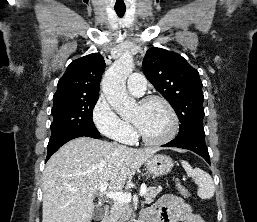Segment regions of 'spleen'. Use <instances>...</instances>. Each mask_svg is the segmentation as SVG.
I'll return each instance as SVG.
<instances>
[{"instance_id": "1", "label": "spleen", "mask_w": 257, "mask_h": 222, "mask_svg": "<svg viewBox=\"0 0 257 222\" xmlns=\"http://www.w3.org/2000/svg\"><path fill=\"white\" fill-rule=\"evenodd\" d=\"M181 164L187 175L192 177L198 185V196L201 199L212 198L215 192V185L212 177L200 168H192V166L186 161H181Z\"/></svg>"}]
</instances>
